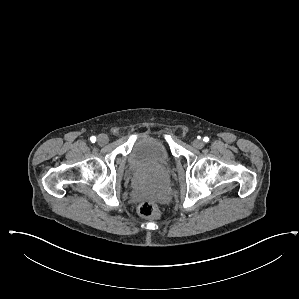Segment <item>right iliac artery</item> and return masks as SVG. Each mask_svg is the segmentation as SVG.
Here are the masks:
<instances>
[{"mask_svg": "<svg viewBox=\"0 0 299 299\" xmlns=\"http://www.w3.org/2000/svg\"><path fill=\"white\" fill-rule=\"evenodd\" d=\"M90 141H91L92 143H95V141H96V137H95V136L90 137Z\"/></svg>", "mask_w": 299, "mask_h": 299, "instance_id": "right-iliac-artery-1", "label": "right iliac artery"}]
</instances>
